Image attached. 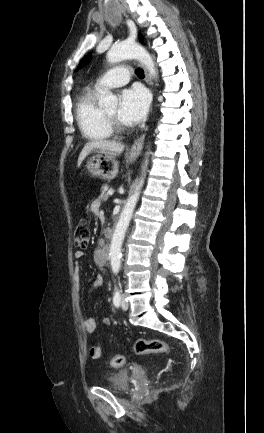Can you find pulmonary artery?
I'll return each mask as SVG.
<instances>
[{
  "mask_svg": "<svg viewBox=\"0 0 264 433\" xmlns=\"http://www.w3.org/2000/svg\"><path fill=\"white\" fill-rule=\"evenodd\" d=\"M129 80L130 74L128 68L126 66H117L100 77L95 83V88L98 90L116 88L127 84Z\"/></svg>",
  "mask_w": 264,
  "mask_h": 433,
  "instance_id": "1",
  "label": "pulmonary artery"
}]
</instances>
